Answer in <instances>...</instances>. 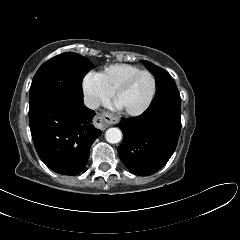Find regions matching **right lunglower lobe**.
Returning a JSON list of instances; mask_svg holds the SVG:
<instances>
[{"label": "right lung lower lobe", "mask_w": 240, "mask_h": 240, "mask_svg": "<svg viewBox=\"0 0 240 240\" xmlns=\"http://www.w3.org/2000/svg\"><path fill=\"white\" fill-rule=\"evenodd\" d=\"M83 97L54 96L29 109L30 130L40 159L54 172L78 175L101 134Z\"/></svg>", "instance_id": "1"}]
</instances>
